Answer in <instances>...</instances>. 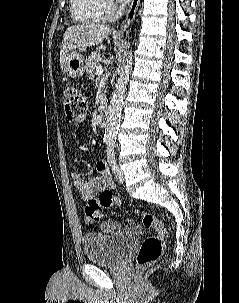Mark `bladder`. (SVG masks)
<instances>
[{
  "label": "bladder",
  "instance_id": "31cf9c89",
  "mask_svg": "<svg viewBox=\"0 0 239 303\" xmlns=\"http://www.w3.org/2000/svg\"><path fill=\"white\" fill-rule=\"evenodd\" d=\"M136 239V235L86 233L83 236V249L88 261L103 265L116 266Z\"/></svg>",
  "mask_w": 239,
  "mask_h": 303
}]
</instances>
